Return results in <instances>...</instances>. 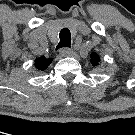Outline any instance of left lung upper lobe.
I'll use <instances>...</instances> for the list:
<instances>
[{
    "label": "left lung upper lobe",
    "mask_w": 135,
    "mask_h": 135,
    "mask_svg": "<svg viewBox=\"0 0 135 135\" xmlns=\"http://www.w3.org/2000/svg\"><path fill=\"white\" fill-rule=\"evenodd\" d=\"M90 57L93 66H96L100 62V57L95 52H93Z\"/></svg>",
    "instance_id": "5c2ea615"
}]
</instances>
